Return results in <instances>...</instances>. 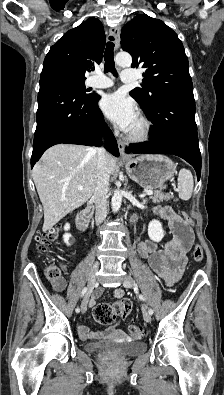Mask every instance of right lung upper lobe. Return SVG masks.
Here are the masks:
<instances>
[{
    "label": "right lung upper lobe",
    "instance_id": "cb5924a9",
    "mask_svg": "<svg viewBox=\"0 0 224 395\" xmlns=\"http://www.w3.org/2000/svg\"><path fill=\"white\" fill-rule=\"evenodd\" d=\"M105 33L102 23L89 18L66 32L49 50L41 74L61 71L80 79L85 72L102 61Z\"/></svg>",
    "mask_w": 224,
    "mask_h": 395
}]
</instances>
